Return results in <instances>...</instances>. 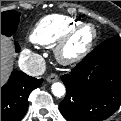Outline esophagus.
I'll list each match as a JSON object with an SVG mask.
<instances>
[{
	"label": "esophagus",
	"instance_id": "esophagus-1",
	"mask_svg": "<svg viewBox=\"0 0 121 121\" xmlns=\"http://www.w3.org/2000/svg\"><path fill=\"white\" fill-rule=\"evenodd\" d=\"M46 80L48 81V82H55V81H58L59 80V76L58 75H56V74H51V75H49L47 78H46Z\"/></svg>",
	"mask_w": 121,
	"mask_h": 121
}]
</instances>
